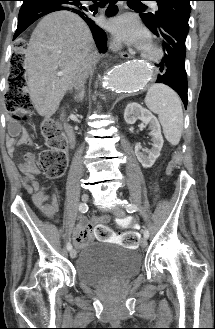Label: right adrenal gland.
<instances>
[{"instance_id": "1", "label": "right adrenal gland", "mask_w": 215, "mask_h": 329, "mask_svg": "<svg viewBox=\"0 0 215 329\" xmlns=\"http://www.w3.org/2000/svg\"><path fill=\"white\" fill-rule=\"evenodd\" d=\"M84 94H85V90H84V87H83L79 92L74 94V99L77 102H82L83 99H84Z\"/></svg>"}]
</instances>
